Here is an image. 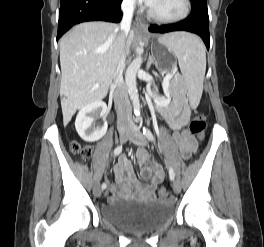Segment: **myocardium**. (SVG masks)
Segmentation results:
<instances>
[{"label":"myocardium","mask_w":264,"mask_h":247,"mask_svg":"<svg viewBox=\"0 0 264 247\" xmlns=\"http://www.w3.org/2000/svg\"><path fill=\"white\" fill-rule=\"evenodd\" d=\"M183 3V10L180 14L172 17H163L158 15L154 9L151 7L149 9V15L157 22L164 23V24H171L177 23L185 20L191 12V1L190 0H182Z\"/></svg>","instance_id":"myocardium-1"}]
</instances>
